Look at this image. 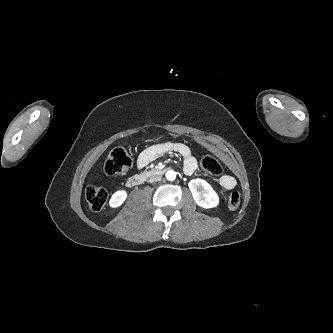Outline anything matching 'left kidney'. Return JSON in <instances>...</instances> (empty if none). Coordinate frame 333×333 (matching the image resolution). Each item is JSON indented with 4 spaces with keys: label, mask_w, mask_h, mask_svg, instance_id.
Wrapping results in <instances>:
<instances>
[{
    "label": "left kidney",
    "mask_w": 333,
    "mask_h": 333,
    "mask_svg": "<svg viewBox=\"0 0 333 333\" xmlns=\"http://www.w3.org/2000/svg\"><path fill=\"white\" fill-rule=\"evenodd\" d=\"M197 205L203 208L216 207L219 197L211 185L203 179H193L188 184Z\"/></svg>",
    "instance_id": "left-kidney-1"
}]
</instances>
